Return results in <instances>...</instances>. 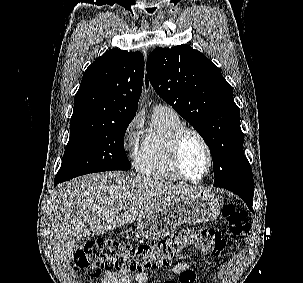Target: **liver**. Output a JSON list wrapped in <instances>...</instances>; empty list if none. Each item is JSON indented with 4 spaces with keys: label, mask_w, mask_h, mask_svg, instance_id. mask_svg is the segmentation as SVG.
<instances>
[{
    "label": "liver",
    "mask_w": 303,
    "mask_h": 283,
    "mask_svg": "<svg viewBox=\"0 0 303 283\" xmlns=\"http://www.w3.org/2000/svg\"><path fill=\"white\" fill-rule=\"evenodd\" d=\"M201 191L196 186L151 177L104 172L60 186L53 199L55 249L68 265L75 244L163 210L174 199Z\"/></svg>",
    "instance_id": "liver-1"
}]
</instances>
